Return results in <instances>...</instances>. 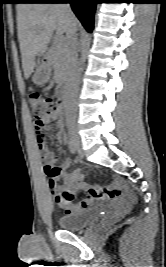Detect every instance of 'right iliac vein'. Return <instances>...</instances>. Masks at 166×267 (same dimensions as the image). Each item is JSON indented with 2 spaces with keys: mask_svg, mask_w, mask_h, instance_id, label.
<instances>
[{
  "mask_svg": "<svg viewBox=\"0 0 166 267\" xmlns=\"http://www.w3.org/2000/svg\"><path fill=\"white\" fill-rule=\"evenodd\" d=\"M70 137L73 139L76 148L79 149L81 147V140L79 135L77 134V129L74 125H71L69 128Z\"/></svg>",
  "mask_w": 166,
  "mask_h": 267,
  "instance_id": "right-iliac-vein-1",
  "label": "right iliac vein"
}]
</instances>
